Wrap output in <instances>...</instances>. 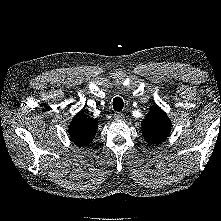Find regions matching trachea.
Wrapping results in <instances>:
<instances>
[{
  "label": "trachea",
  "mask_w": 221,
  "mask_h": 221,
  "mask_svg": "<svg viewBox=\"0 0 221 221\" xmlns=\"http://www.w3.org/2000/svg\"><path fill=\"white\" fill-rule=\"evenodd\" d=\"M124 102L120 97H116L113 100V108L115 111H121L123 109Z\"/></svg>",
  "instance_id": "1"
}]
</instances>
